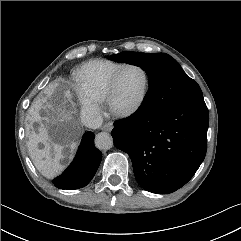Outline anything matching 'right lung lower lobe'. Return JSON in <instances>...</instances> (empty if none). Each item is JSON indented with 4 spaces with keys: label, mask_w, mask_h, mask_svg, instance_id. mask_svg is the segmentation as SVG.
<instances>
[{
    "label": "right lung lower lobe",
    "mask_w": 241,
    "mask_h": 241,
    "mask_svg": "<svg viewBox=\"0 0 241 241\" xmlns=\"http://www.w3.org/2000/svg\"><path fill=\"white\" fill-rule=\"evenodd\" d=\"M102 153L94 145V133L86 132L73 162L56 179L54 185L60 189H79L86 186L94 177Z\"/></svg>",
    "instance_id": "98d812e1"
}]
</instances>
